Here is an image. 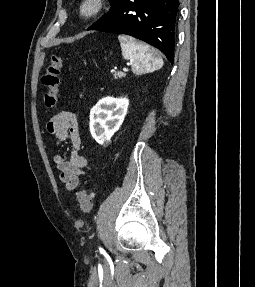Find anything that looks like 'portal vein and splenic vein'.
<instances>
[{
    "instance_id": "obj_1",
    "label": "portal vein and splenic vein",
    "mask_w": 255,
    "mask_h": 287,
    "mask_svg": "<svg viewBox=\"0 0 255 287\" xmlns=\"http://www.w3.org/2000/svg\"><path fill=\"white\" fill-rule=\"evenodd\" d=\"M127 66H131V64H127ZM123 72H128L127 68H123Z\"/></svg>"
}]
</instances>
